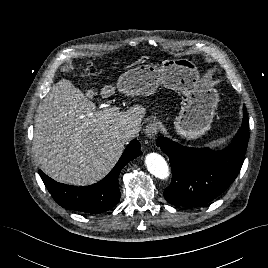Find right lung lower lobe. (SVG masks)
<instances>
[{
	"mask_svg": "<svg viewBox=\"0 0 268 268\" xmlns=\"http://www.w3.org/2000/svg\"><path fill=\"white\" fill-rule=\"evenodd\" d=\"M141 155L140 143L131 141L111 172L96 184L84 187L58 183L39 174L54 200L63 208L82 213L98 214L110 210L120 200L118 177L121 169L131 160Z\"/></svg>",
	"mask_w": 268,
	"mask_h": 268,
	"instance_id": "obj_1",
	"label": "right lung lower lobe"
}]
</instances>
